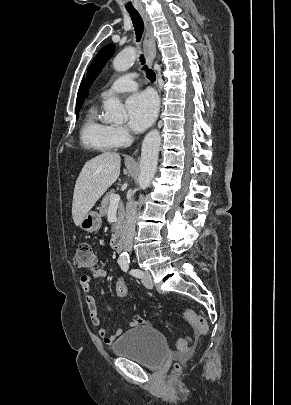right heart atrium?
Masks as SVG:
<instances>
[{"label":"right heart atrium","mask_w":291,"mask_h":405,"mask_svg":"<svg viewBox=\"0 0 291 405\" xmlns=\"http://www.w3.org/2000/svg\"><path fill=\"white\" fill-rule=\"evenodd\" d=\"M113 137L118 146L126 144L130 138L129 131L124 126H113Z\"/></svg>","instance_id":"1"}]
</instances>
